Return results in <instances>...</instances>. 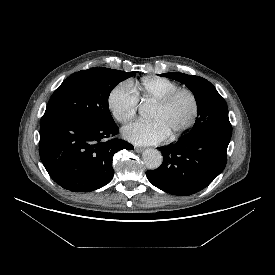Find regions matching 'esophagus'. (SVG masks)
I'll use <instances>...</instances> for the list:
<instances>
[{
	"instance_id": "esophagus-1",
	"label": "esophagus",
	"mask_w": 275,
	"mask_h": 275,
	"mask_svg": "<svg viewBox=\"0 0 275 275\" xmlns=\"http://www.w3.org/2000/svg\"><path fill=\"white\" fill-rule=\"evenodd\" d=\"M134 150H135L137 153H141V152L144 150V148H142V147H134Z\"/></svg>"
}]
</instances>
